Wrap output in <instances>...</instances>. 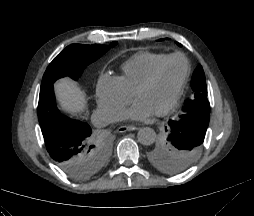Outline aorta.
<instances>
[{"label":"aorta","instance_id":"762f6f07","mask_svg":"<svg viewBox=\"0 0 254 216\" xmlns=\"http://www.w3.org/2000/svg\"><path fill=\"white\" fill-rule=\"evenodd\" d=\"M137 139L142 145L149 146L155 142L156 133L150 127H143L139 129Z\"/></svg>","mask_w":254,"mask_h":216}]
</instances>
